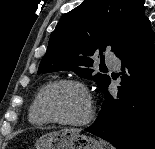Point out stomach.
<instances>
[{"instance_id": "0dacf381", "label": "stomach", "mask_w": 155, "mask_h": 149, "mask_svg": "<svg viewBox=\"0 0 155 149\" xmlns=\"http://www.w3.org/2000/svg\"><path fill=\"white\" fill-rule=\"evenodd\" d=\"M36 149H108L94 138L71 131H55L41 136Z\"/></svg>"}]
</instances>
